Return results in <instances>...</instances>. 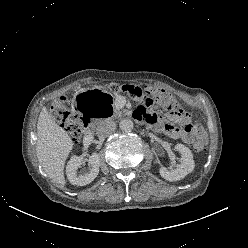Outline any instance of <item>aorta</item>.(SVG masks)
Segmentation results:
<instances>
[{
    "label": "aorta",
    "mask_w": 248,
    "mask_h": 248,
    "mask_svg": "<svg viewBox=\"0 0 248 248\" xmlns=\"http://www.w3.org/2000/svg\"><path fill=\"white\" fill-rule=\"evenodd\" d=\"M119 127L123 132H130L133 127V121L131 119H123L119 123Z\"/></svg>",
    "instance_id": "1"
}]
</instances>
